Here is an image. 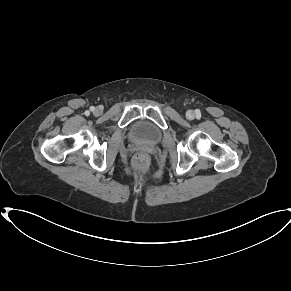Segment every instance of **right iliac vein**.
<instances>
[{
  "label": "right iliac vein",
  "instance_id": "obj_1",
  "mask_svg": "<svg viewBox=\"0 0 291 291\" xmlns=\"http://www.w3.org/2000/svg\"><path fill=\"white\" fill-rule=\"evenodd\" d=\"M94 113L95 114H100L101 113V110L99 108H96L95 111H94Z\"/></svg>",
  "mask_w": 291,
  "mask_h": 291
}]
</instances>
